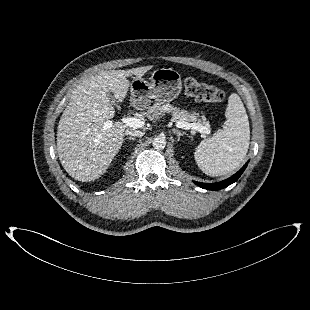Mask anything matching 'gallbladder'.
Returning <instances> with one entry per match:
<instances>
[{"instance_id":"obj_1","label":"gallbladder","mask_w":310,"mask_h":310,"mask_svg":"<svg viewBox=\"0 0 310 310\" xmlns=\"http://www.w3.org/2000/svg\"><path fill=\"white\" fill-rule=\"evenodd\" d=\"M108 96H109V98H110V100H111L112 104H113V105H115L116 107H118V104H117V103H115V101H114V99H113V95H112V93H108Z\"/></svg>"}]
</instances>
